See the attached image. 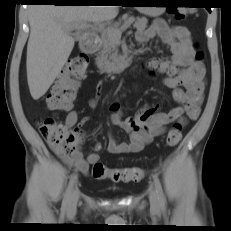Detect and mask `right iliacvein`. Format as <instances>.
<instances>
[{"mask_svg":"<svg viewBox=\"0 0 231 231\" xmlns=\"http://www.w3.org/2000/svg\"><path fill=\"white\" fill-rule=\"evenodd\" d=\"M78 199H79V189L76 186L72 192V195L68 203V207H67L68 212L70 213L75 212Z\"/></svg>","mask_w":231,"mask_h":231,"instance_id":"obj_1","label":"right iliac vein"}]
</instances>
